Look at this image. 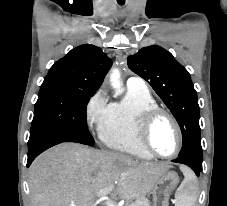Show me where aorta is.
I'll use <instances>...</instances> for the list:
<instances>
[{
	"mask_svg": "<svg viewBox=\"0 0 227 206\" xmlns=\"http://www.w3.org/2000/svg\"><path fill=\"white\" fill-rule=\"evenodd\" d=\"M111 86L115 89L116 94H121L123 92L122 82L120 80V72L118 69H113L110 75Z\"/></svg>",
	"mask_w": 227,
	"mask_h": 206,
	"instance_id": "1",
	"label": "aorta"
}]
</instances>
